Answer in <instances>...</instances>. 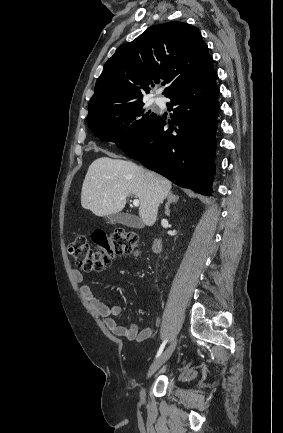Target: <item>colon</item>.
<instances>
[{"mask_svg":"<svg viewBox=\"0 0 283 433\" xmlns=\"http://www.w3.org/2000/svg\"><path fill=\"white\" fill-rule=\"evenodd\" d=\"M96 245L92 249L88 238L76 233L68 244L69 254L75 264L84 271H102L108 267L117 255L136 253L138 236L134 232L117 229L111 234L96 233L92 237Z\"/></svg>","mask_w":283,"mask_h":433,"instance_id":"5ec220e1","label":"colon"}]
</instances>
